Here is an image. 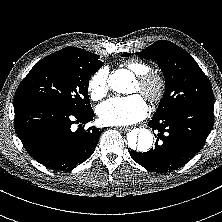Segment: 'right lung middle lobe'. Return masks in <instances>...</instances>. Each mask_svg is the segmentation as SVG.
Wrapping results in <instances>:
<instances>
[{
	"label": "right lung middle lobe",
	"mask_w": 222,
	"mask_h": 222,
	"mask_svg": "<svg viewBox=\"0 0 222 222\" xmlns=\"http://www.w3.org/2000/svg\"><path fill=\"white\" fill-rule=\"evenodd\" d=\"M101 66L96 54L77 58L45 57L23 79L14 101L42 100L72 112H87L92 109L89 80Z\"/></svg>",
	"instance_id": "right-lung-middle-lobe-1"
}]
</instances>
